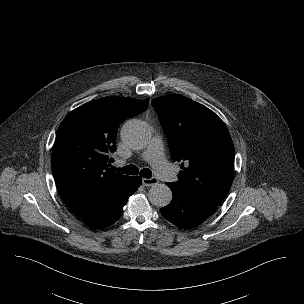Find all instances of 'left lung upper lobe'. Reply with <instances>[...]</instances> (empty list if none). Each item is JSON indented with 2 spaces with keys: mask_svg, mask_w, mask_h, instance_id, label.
I'll return each mask as SVG.
<instances>
[{
  "mask_svg": "<svg viewBox=\"0 0 304 304\" xmlns=\"http://www.w3.org/2000/svg\"><path fill=\"white\" fill-rule=\"evenodd\" d=\"M174 161H183L172 185L220 205L232 184L234 146L227 127L207 107L178 94L152 100Z\"/></svg>",
  "mask_w": 304,
  "mask_h": 304,
  "instance_id": "5c2ea615",
  "label": "left lung upper lobe"
}]
</instances>
